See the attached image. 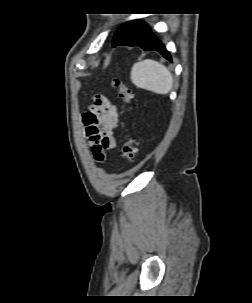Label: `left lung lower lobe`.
Returning <instances> with one entry per match:
<instances>
[{"instance_id": "obj_1", "label": "left lung lower lobe", "mask_w": 252, "mask_h": 303, "mask_svg": "<svg viewBox=\"0 0 252 303\" xmlns=\"http://www.w3.org/2000/svg\"><path fill=\"white\" fill-rule=\"evenodd\" d=\"M119 45L140 46L146 51L154 50L159 52L164 58L171 60V56L163 44L150 32V28L145 23H138L136 27L119 41L114 47Z\"/></svg>"}]
</instances>
